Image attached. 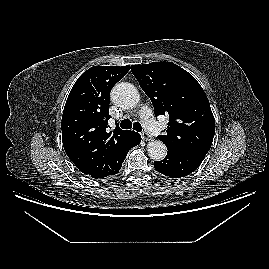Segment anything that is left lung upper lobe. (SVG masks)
<instances>
[{"mask_svg":"<svg viewBox=\"0 0 269 269\" xmlns=\"http://www.w3.org/2000/svg\"><path fill=\"white\" fill-rule=\"evenodd\" d=\"M131 71L150 98L155 116L169 115L165 134L158 136L168 151L206 155L212 145L215 119L197 80L171 62L132 65Z\"/></svg>","mask_w":269,"mask_h":269,"instance_id":"1","label":"left lung upper lobe"}]
</instances>
